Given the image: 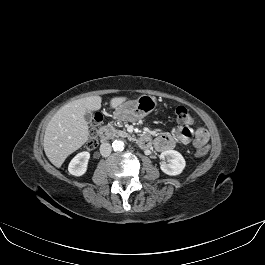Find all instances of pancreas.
<instances>
[{
  "instance_id": "obj_1",
  "label": "pancreas",
  "mask_w": 265,
  "mask_h": 265,
  "mask_svg": "<svg viewBox=\"0 0 265 265\" xmlns=\"http://www.w3.org/2000/svg\"><path fill=\"white\" fill-rule=\"evenodd\" d=\"M113 125L116 126V123H110L109 124V127H111L112 129V133H111V136L112 137H122V138H129L130 135L125 131V130H118L116 128L113 127Z\"/></svg>"
}]
</instances>
